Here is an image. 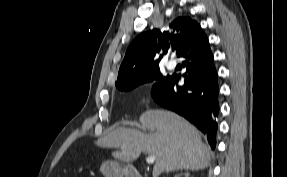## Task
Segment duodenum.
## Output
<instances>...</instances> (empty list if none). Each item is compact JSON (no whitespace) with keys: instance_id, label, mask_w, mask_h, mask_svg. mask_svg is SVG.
Returning a JSON list of instances; mask_svg holds the SVG:
<instances>
[{"instance_id":"410a0bca","label":"duodenum","mask_w":287,"mask_h":177,"mask_svg":"<svg viewBox=\"0 0 287 177\" xmlns=\"http://www.w3.org/2000/svg\"><path fill=\"white\" fill-rule=\"evenodd\" d=\"M114 175H122V177H142L135 167L124 166L122 169L113 170Z\"/></svg>"}]
</instances>
